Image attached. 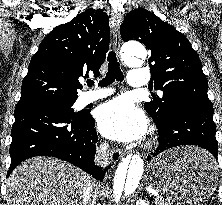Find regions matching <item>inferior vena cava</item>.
I'll list each match as a JSON object with an SVG mask.
<instances>
[{
	"label": "inferior vena cava",
	"mask_w": 222,
	"mask_h": 205,
	"mask_svg": "<svg viewBox=\"0 0 222 205\" xmlns=\"http://www.w3.org/2000/svg\"><path fill=\"white\" fill-rule=\"evenodd\" d=\"M108 151H109V145L108 143H103L100 145L99 150L95 156V162L98 165L106 166L108 164ZM93 186L91 183L87 185V187L83 191L82 195V203L86 205L91 197Z\"/></svg>",
	"instance_id": "inferior-vena-cava-1"
}]
</instances>
